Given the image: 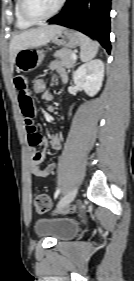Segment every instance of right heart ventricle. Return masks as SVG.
Segmentation results:
<instances>
[{
	"label": "right heart ventricle",
	"instance_id": "e07e8e85",
	"mask_svg": "<svg viewBox=\"0 0 134 281\" xmlns=\"http://www.w3.org/2000/svg\"><path fill=\"white\" fill-rule=\"evenodd\" d=\"M15 23L18 29L24 30L33 26L34 23L27 21L20 12L19 0L14 3Z\"/></svg>",
	"mask_w": 134,
	"mask_h": 281
}]
</instances>
